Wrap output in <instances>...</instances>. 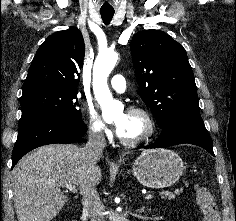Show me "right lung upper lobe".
Instances as JSON below:
<instances>
[{"instance_id":"obj_1","label":"right lung upper lobe","mask_w":236,"mask_h":221,"mask_svg":"<svg viewBox=\"0 0 236 221\" xmlns=\"http://www.w3.org/2000/svg\"><path fill=\"white\" fill-rule=\"evenodd\" d=\"M84 55V40L77 28L48 36L32 60L22 94L44 89L78 92Z\"/></svg>"}]
</instances>
